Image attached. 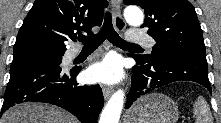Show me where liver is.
Segmentation results:
<instances>
[{
    "mask_svg": "<svg viewBox=\"0 0 221 123\" xmlns=\"http://www.w3.org/2000/svg\"><path fill=\"white\" fill-rule=\"evenodd\" d=\"M0 123H78L68 112L52 105L26 102L7 110Z\"/></svg>",
    "mask_w": 221,
    "mask_h": 123,
    "instance_id": "6515ba94",
    "label": "liver"
}]
</instances>
